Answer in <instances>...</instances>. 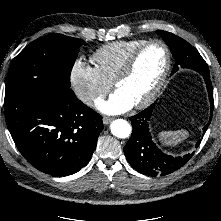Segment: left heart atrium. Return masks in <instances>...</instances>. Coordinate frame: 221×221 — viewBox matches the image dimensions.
<instances>
[{
  "label": "left heart atrium",
  "instance_id": "1",
  "mask_svg": "<svg viewBox=\"0 0 221 221\" xmlns=\"http://www.w3.org/2000/svg\"><path fill=\"white\" fill-rule=\"evenodd\" d=\"M134 103L120 90H116L107 100L98 102L100 111L106 114H118L132 108Z\"/></svg>",
  "mask_w": 221,
  "mask_h": 221
}]
</instances>
